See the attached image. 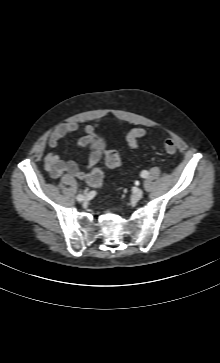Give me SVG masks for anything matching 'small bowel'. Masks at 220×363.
Listing matches in <instances>:
<instances>
[{
    "mask_svg": "<svg viewBox=\"0 0 220 363\" xmlns=\"http://www.w3.org/2000/svg\"><path fill=\"white\" fill-rule=\"evenodd\" d=\"M78 124L69 122L58 126L50 135L48 146L50 151L46 154L44 159V169L46 173L52 178L57 179L61 175H69L71 177L85 180L88 178L89 172L97 167L103 158V151L100 145L96 144L97 138L95 135L96 125L90 124L84 128V136L79 140V147H84L91 143L95 144L94 151L89 156L88 165L86 170H81L78 164L73 160L65 161L61 159L54 150L57 148L58 143L64 137L75 133L78 130Z\"/></svg>",
    "mask_w": 220,
    "mask_h": 363,
    "instance_id": "1",
    "label": "small bowel"
}]
</instances>
